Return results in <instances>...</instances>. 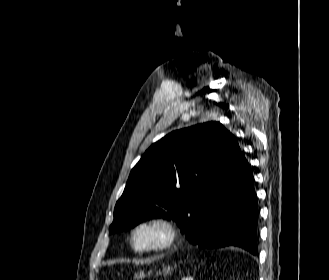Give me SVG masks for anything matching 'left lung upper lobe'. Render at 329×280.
Segmentation results:
<instances>
[{
	"instance_id": "obj_1",
	"label": "left lung upper lobe",
	"mask_w": 329,
	"mask_h": 280,
	"mask_svg": "<svg viewBox=\"0 0 329 280\" xmlns=\"http://www.w3.org/2000/svg\"><path fill=\"white\" fill-rule=\"evenodd\" d=\"M235 137L219 122L173 131L154 143L132 169L114 209L110 233L147 218L197 225L200 207L232 179Z\"/></svg>"
}]
</instances>
